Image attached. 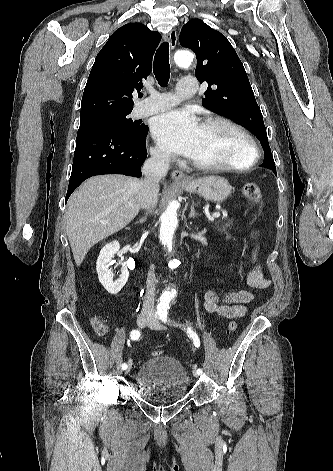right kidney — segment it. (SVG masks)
<instances>
[{
    "mask_svg": "<svg viewBox=\"0 0 333 471\" xmlns=\"http://www.w3.org/2000/svg\"><path fill=\"white\" fill-rule=\"evenodd\" d=\"M119 249L120 244L117 241H113L105 245L101 249L96 263L99 282L112 295H116L121 291V289L127 283L129 277V271L127 267H124L120 277L113 281V275L109 269V266L112 264V258L116 253L119 252Z\"/></svg>",
    "mask_w": 333,
    "mask_h": 471,
    "instance_id": "ca27d5eb",
    "label": "right kidney"
}]
</instances>
